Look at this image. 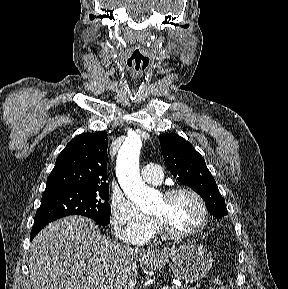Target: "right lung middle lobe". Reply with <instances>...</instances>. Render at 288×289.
I'll list each match as a JSON object with an SVG mask.
<instances>
[{
	"mask_svg": "<svg viewBox=\"0 0 288 289\" xmlns=\"http://www.w3.org/2000/svg\"><path fill=\"white\" fill-rule=\"evenodd\" d=\"M109 187L92 189H45L34 225L49 223L67 215H82L99 225L110 222Z\"/></svg>",
	"mask_w": 288,
	"mask_h": 289,
	"instance_id": "1",
	"label": "right lung middle lobe"
}]
</instances>
